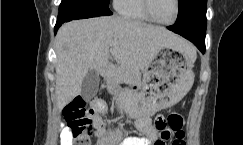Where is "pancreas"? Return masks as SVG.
<instances>
[{"mask_svg": "<svg viewBox=\"0 0 243 145\" xmlns=\"http://www.w3.org/2000/svg\"><path fill=\"white\" fill-rule=\"evenodd\" d=\"M134 77L136 76L132 75L128 71H125L122 67H116L114 69L112 79L115 82H122V81H130Z\"/></svg>", "mask_w": 243, "mask_h": 145, "instance_id": "obj_1", "label": "pancreas"}]
</instances>
